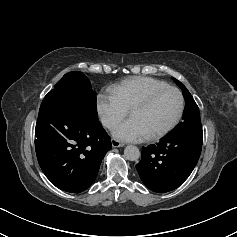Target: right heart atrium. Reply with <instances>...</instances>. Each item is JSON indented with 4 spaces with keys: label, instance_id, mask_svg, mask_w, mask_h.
<instances>
[{
    "label": "right heart atrium",
    "instance_id": "1",
    "mask_svg": "<svg viewBox=\"0 0 237 237\" xmlns=\"http://www.w3.org/2000/svg\"><path fill=\"white\" fill-rule=\"evenodd\" d=\"M97 111L101 123L108 129L114 128L127 115V109L110 88L98 94Z\"/></svg>",
    "mask_w": 237,
    "mask_h": 237
}]
</instances>
